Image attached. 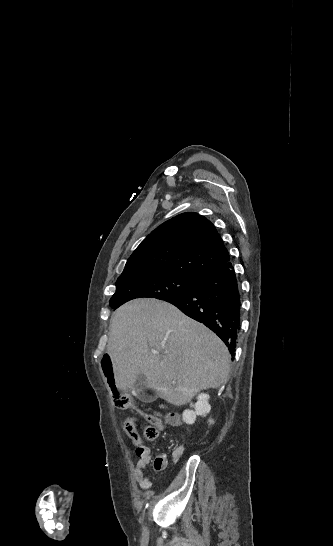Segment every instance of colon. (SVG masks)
Returning a JSON list of instances; mask_svg holds the SVG:
<instances>
[{"label":"colon","instance_id":"colon-1","mask_svg":"<svg viewBox=\"0 0 333 546\" xmlns=\"http://www.w3.org/2000/svg\"><path fill=\"white\" fill-rule=\"evenodd\" d=\"M101 365L105 373V377L109 379L107 384L110 390L113 391V400L115 405L122 410H133L136 408V400L132 395L126 392H120L117 389L115 380H113V361L110 355L106 354L102 358ZM124 430L128 436H134L136 432V422L134 418H127L124 422ZM142 435L147 440H154L158 436V428L154 423L144 425Z\"/></svg>","mask_w":333,"mask_h":546}]
</instances>
